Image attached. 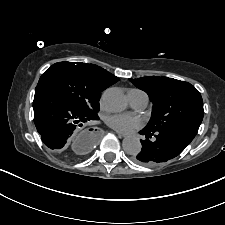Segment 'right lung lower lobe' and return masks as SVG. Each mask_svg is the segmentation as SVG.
Wrapping results in <instances>:
<instances>
[{"label":"right lung lower lobe","mask_w":225,"mask_h":225,"mask_svg":"<svg viewBox=\"0 0 225 225\" xmlns=\"http://www.w3.org/2000/svg\"><path fill=\"white\" fill-rule=\"evenodd\" d=\"M34 123L43 143L52 150L66 149L71 136L83 123L98 120L85 114L67 99L53 90L37 86L33 101ZM88 147L95 143L93 135L88 134Z\"/></svg>","instance_id":"98d812e1"}]
</instances>
